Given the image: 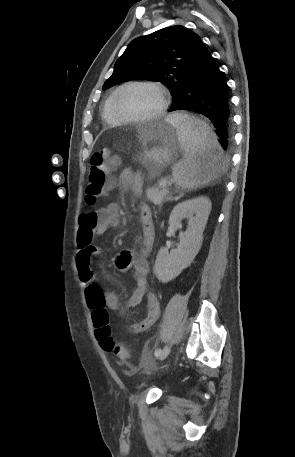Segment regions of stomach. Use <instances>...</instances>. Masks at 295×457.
<instances>
[{"mask_svg":"<svg viewBox=\"0 0 295 457\" xmlns=\"http://www.w3.org/2000/svg\"><path fill=\"white\" fill-rule=\"evenodd\" d=\"M139 161L151 175H157L176 156L180 145L176 127L166 119L153 123L141 133Z\"/></svg>","mask_w":295,"mask_h":457,"instance_id":"0dacf381","label":"stomach"}]
</instances>
